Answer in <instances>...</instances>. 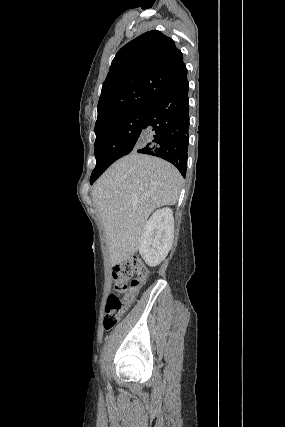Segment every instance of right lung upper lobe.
<instances>
[{"label":"right lung upper lobe","instance_id":"1","mask_svg":"<svg viewBox=\"0 0 285 427\" xmlns=\"http://www.w3.org/2000/svg\"><path fill=\"white\" fill-rule=\"evenodd\" d=\"M187 79L182 52L160 31L146 32L122 47L111 63L95 124L146 107Z\"/></svg>","mask_w":285,"mask_h":427}]
</instances>
